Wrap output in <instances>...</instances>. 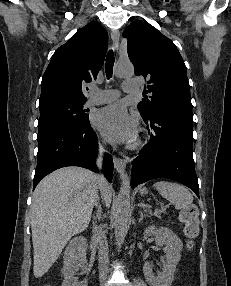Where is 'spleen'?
<instances>
[{"instance_id": "3e777b00", "label": "spleen", "mask_w": 231, "mask_h": 286, "mask_svg": "<svg viewBox=\"0 0 231 286\" xmlns=\"http://www.w3.org/2000/svg\"><path fill=\"white\" fill-rule=\"evenodd\" d=\"M160 195L172 203L176 209L189 207L193 202V196L190 191L183 185L169 182L158 181L153 184Z\"/></svg>"}]
</instances>
